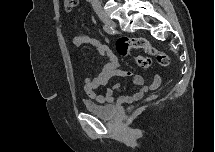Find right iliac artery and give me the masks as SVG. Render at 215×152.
I'll return each mask as SVG.
<instances>
[{
	"label": "right iliac artery",
	"mask_w": 215,
	"mask_h": 152,
	"mask_svg": "<svg viewBox=\"0 0 215 152\" xmlns=\"http://www.w3.org/2000/svg\"><path fill=\"white\" fill-rule=\"evenodd\" d=\"M103 30L108 34H114V30L112 27H109L108 25H103Z\"/></svg>",
	"instance_id": "obj_1"
}]
</instances>
